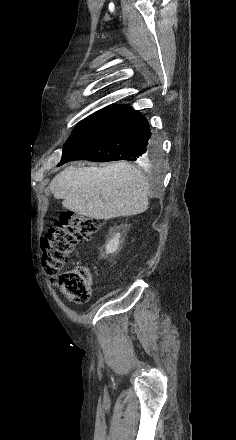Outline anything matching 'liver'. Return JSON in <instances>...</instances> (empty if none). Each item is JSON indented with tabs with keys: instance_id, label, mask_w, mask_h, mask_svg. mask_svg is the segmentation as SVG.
Masks as SVG:
<instances>
[{
	"instance_id": "liver-1",
	"label": "liver",
	"mask_w": 236,
	"mask_h": 440,
	"mask_svg": "<svg viewBox=\"0 0 236 440\" xmlns=\"http://www.w3.org/2000/svg\"><path fill=\"white\" fill-rule=\"evenodd\" d=\"M49 189L63 200L64 208L93 219L141 214L149 204L146 178L127 162L67 167L52 179Z\"/></svg>"
}]
</instances>
